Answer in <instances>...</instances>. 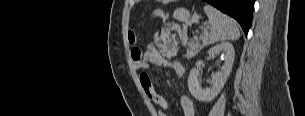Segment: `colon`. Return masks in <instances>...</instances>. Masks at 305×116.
Listing matches in <instances>:
<instances>
[{
	"instance_id": "5ec220e1",
	"label": "colon",
	"mask_w": 305,
	"mask_h": 116,
	"mask_svg": "<svg viewBox=\"0 0 305 116\" xmlns=\"http://www.w3.org/2000/svg\"><path fill=\"white\" fill-rule=\"evenodd\" d=\"M128 40H129L130 44H135L138 40L137 33L133 29H130L129 32H128ZM141 77L142 78H148V74L143 72L141 74Z\"/></svg>"
}]
</instances>
